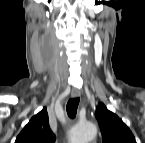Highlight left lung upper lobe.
<instances>
[{
	"label": "left lung upper lobe",
	"instance_id": "obj_1",
	"mask_svg": "<svg viewBox=\"0 0 145 143\" xmlns=\"http://www.w3.org/2000/svg\"><path fill=\"white\" fill-rule=\"evenodd\" d=\"M95 116L101 129L103 143H136L126 124L103 103H99Z\"/></svg>",
	"mask_w": 145,
	"mask_h": 143
}]
</instances>
